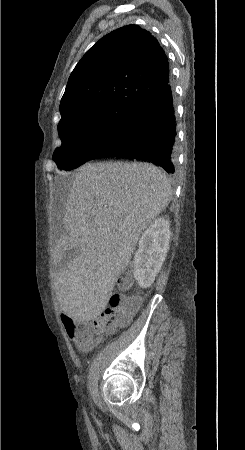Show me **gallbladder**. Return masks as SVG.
<instances>
[{
	"label": "gallbladder",
	"instance_id": "1",
	"mask_svg": "<svg viewBox=\"0 0 245 450\" xmlns=\"http://www.w3.org/2000/svg\"><path fill=\"white\" fill-rule=\"evenodd\" d=\"M75 254V252L73 250H71L70 252H68L65 256L64 259L62 261V265L64 266Z\"/></svg>",
	"mask_w": 245,
	"mask_h": 450
}]
</instances>
